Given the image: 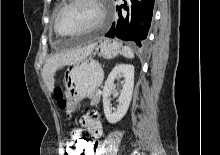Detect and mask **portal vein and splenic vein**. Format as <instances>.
<instances>
[{"label": "portal vein and splenic vein", "mask_w": 220, "mask_h": 155, "mask_svg": "<svg viewBox=\"0 0 220 155\" xmlns=\"http://www.w3.org/2000/svg\"><path fill=\"white\" fill-rule=\"evenodd\" d=\"M98 94H101V90H98Z\"/></svg>", "instance_id": "obj_1"}]
</instances>
